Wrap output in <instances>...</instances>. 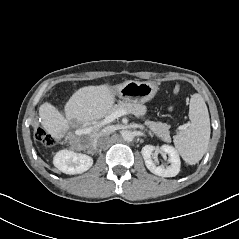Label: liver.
<instances>
[{
    "mask_svg": "<svg viewBox=\"0 0 239 239\" xmlns=\"http://www.w3.org/2000/svg\"><path fill=\"white\" fill-rule=\"evenodd\" d=\"M115 94L108 84L86 86L78 89L65 105V117L51 103L39 107V116L44 129L53 137L64 136L70 127H80L106 117L113 108ZM99 128L90 134L95 145Z\"/></svg>",
    "mask_w": 239,
    "mask_h": 239,
    "instance_id": "1",
    "label": "liver"
}]
</instances>
